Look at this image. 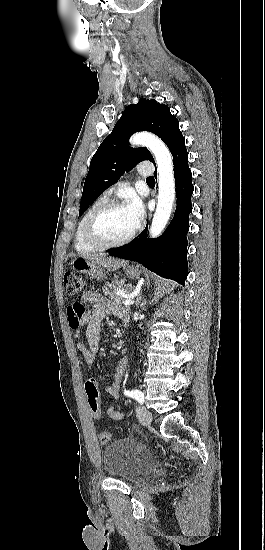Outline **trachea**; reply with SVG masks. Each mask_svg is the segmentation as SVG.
Segmentation results:
<instances>
[{"label":"trachea","mask_w":265,"mask_h":550,"mask_svg":"<svg viewBox=\"0 0 265 550\" xmlns=\"http://www.w3.org/2000/svg\"><path fill=\"white\" fill-rule=\"evenodd\" d=\"M146 182L147 183H152V182H155V179H154V177L150 176L146 179Z\"/></svg>","instance_id":"trachea-1"}]
</instances>
